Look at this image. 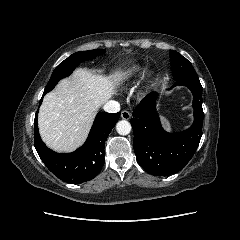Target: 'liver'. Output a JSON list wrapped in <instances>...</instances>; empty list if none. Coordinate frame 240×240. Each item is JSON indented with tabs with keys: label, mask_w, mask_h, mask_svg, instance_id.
<instances>
[{
	"label": "liver",
	"mask_w": 240,
	"mask_h": 240,
	"mask_svg": "<svg viewBox=\"0 0 240 240\" xmlns=\"http://www.w3.org/2000/svg\"><path fill=\"white\" fill-rule=\"evenodd\" d=\"M125 73L109 76L79 68L46 94L38 115L40 135L57 152H70L87 138L100 106L116 94Z\"/></svg>",
	"instance_id": "liver-1"
}]
</instances>
